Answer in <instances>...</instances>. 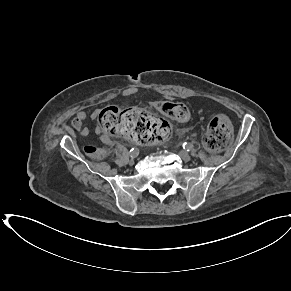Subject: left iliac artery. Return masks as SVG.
I'll list each match as a JSON object with an SVG mask.
<instances>
[{
	"label": "left iliac artery",
	"mask_w": 291,
	"mask_h": 291,
	"mask_svg": "<svg viewBox=\"0 0 291 291\" xmlns=\"http://www.w3.org/2000/svg\"><path fill=\"white\" fill-rule=\"evenodd\" d=\"M182 146H183V149H185V150H187V151H190V150L192 149V145L189 144V143H187V142H184V143L182 144Z\"/></svg>",
	"instance_id": "left-iliac-artery-1"
}]
</instances>
